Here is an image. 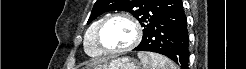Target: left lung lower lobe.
<instances>
[{
	"label": "left lung lower lobe",
	"mask_w": 246,
	"mask_h": 69,
	"mask_svg": "<svg viewBox=\"0 0 246 69\" xmlns=\"http://www.w3.org/2000/svg\"><path fill=\"white\" fill-rule=\"evenodd\" d=\"M187 19L180 1L162 19L143 31L141 43L134 48L165 55L182 69H187L189 59Z\"/></svg>",
	"instance_id": "1"
}]
</instances>
